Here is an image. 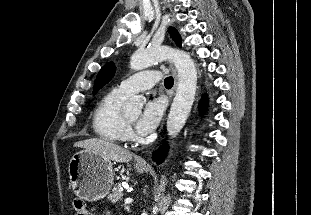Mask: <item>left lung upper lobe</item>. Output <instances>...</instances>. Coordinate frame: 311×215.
I'll return each instance as SVG.
<instances>
[{
	"label": "left lung upper lobe",
	"mask_w": 311,
	"mask_h": 215,
	"mask_svg": "<svg viewBox=\"0 0 311 215\" xmlns=\"http://www.w3.org/2000/svg\"><path fill=\"white\" fill-rule=\"evenodd\" d=\"M171 37L176 42L178 46H181V37L175 28H169ZM115 73V66L113 62H109L104 65L99 71L93 88V93L95 94L99 89H101L106 83H108Z\"/></svg>",
	"instance_id": "1"
}]
</instances>
